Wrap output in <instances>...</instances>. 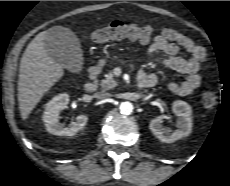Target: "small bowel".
<instances>
[{"label": "small bowel", "mask_w": 230, "mask_h": 186, "mask_svg": "<svg viewBox=\"0 0 230 186\" xmlns=\"http://www.w3.org/2000/svg\"><path fill=\"white\" fill-rule=\"evenodd\" d=\"M181 49L185 50L190 58L180 57L178 53ZM148 50L152 55L162 54L161 62L165 67L187 76L182 82L169 84L172 92L187 96L200 86V70L206 59V52L188 36L173 28H163L149 45ZM141 79L149 80L151 86L157 82L156 75L148 74L144 70L139 71V80Z\"/></svg>", "instance_id": "1"}]
</instances>
